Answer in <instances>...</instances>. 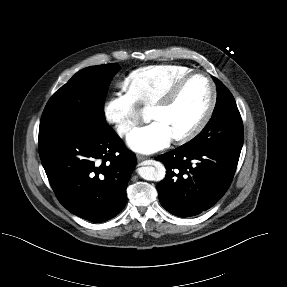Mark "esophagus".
<instances>
[{
  "instance_id": "esophagus-1",
  "label": "esophagus",
  "mask_w": 287,
  "mask_h": 287,
  "mask_svg": "<svg viewBox=\"0 0 287 287\" xmlns=\"http://www.w3.org/2000/svg\"><path fill=\"white\" fill-rule=\"evenodd\" d=\"M146 157L145 156H142V155H137V160L140 162V161H143L145 160Z\"/></svg>"
}]
</instances>
